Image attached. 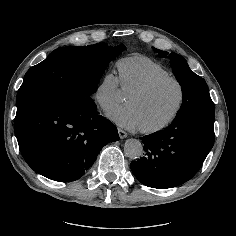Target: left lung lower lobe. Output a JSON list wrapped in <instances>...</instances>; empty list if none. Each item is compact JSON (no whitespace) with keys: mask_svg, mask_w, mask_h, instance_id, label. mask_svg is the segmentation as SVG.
Segmentation results:
<instances>
[{"mask_svg":"<svg viewBox=\"0 0 236 236\" xmlns=\"http://www.w3.org/2000/svg\"><path fill=\"white\" fill-rule=\"evenodd\" d=\"M214 117L187 116L141 138L145 154L131 163L135 177L152 188H172L190 180L214 144Z\"/></svg>","mask_w":236,"mask_h":236,"instance_id":"obj_1","label":"left lung lower lobe"}]
</instances>
